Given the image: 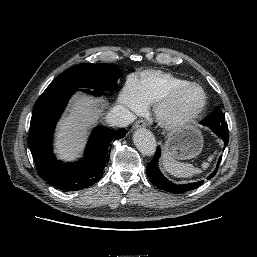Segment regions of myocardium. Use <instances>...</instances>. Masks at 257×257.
<instances>
[{
	"instance_id": "1",
	"label": "myocardium",
	"mask_w": 257,
	"mask_h": 257,
	"mask_svg": "<svg viewBox=\"0 0 257 257\" xmlns=\"http://www.w3.org/2000/svg\"><path fill=\"white\" fill-rule=\"evenodd\" d=\"M191 88H198L202 93V101L200 105L191 113L182 116H174L170 114L169 108L175 102V100L186 90ZM207 106V94L204 88L197 84L189 82L182 86H179L168 93V95L160 101L156 106V117L158 122L167 129L182 128L195 120H197L204 112Z\"/></svg>"
}]
</instances>
